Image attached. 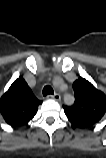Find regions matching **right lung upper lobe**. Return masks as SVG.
I'll return each instance as SVG.
<instances>
[{"mask_svg":"<svg viewBox=\"0 0 106 158\" xmlns=\"http://www.w3.org/2000/svg\"><path fill=\"white\" fill-rule=\"evenodd\" d=\"M41 103L20 76L0 98V115L9 125L21 126L35 116Z\"/></svg>","mask_w":106,"mask_h":158,"instance_id":"right-lung-upper-lobe-1","label":"right lung upper lobe"}]
</instances>
